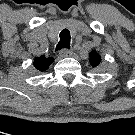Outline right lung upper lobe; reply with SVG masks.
I'll list each match as a JSON object with an SVG mask.
<instances>
[{
  "label": "right lung upper lobe",
  "mask_w": 135,
  "mask_h": 135,
  "mask_svg": "<svg viewBox=\"0 0 135 135\" xmlns=\"http://www.w3.org/2000/svg\"><path fill=\"white\" fill-rule=\"evenodd\" d=\"M53 61L54 59L52 57L47 58L42 55L34 59L33 65L38 71L43 72L51 65Z\"/></svg>",
  "instance_id": "1"
}]
</instances>
